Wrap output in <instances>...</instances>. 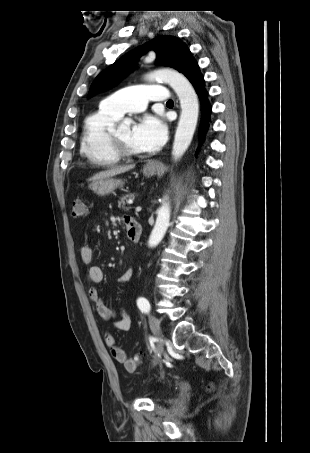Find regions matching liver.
<instances>
[{
	"label": "liver",
	"mask_w": 310,
	"mask_h": 453,
	"mask_svg": "<svg viewBox=\"0 0 310 453\" xmlns=\"http://www.w3.org/2000/svg\"><path fill=\"white\" fill-rule=\"evenodd\" d=\"M135 167V165H126V166H116V167H112L108 170H105V171H101L97 174H95L93 177H91L89 180L90 181H96V180H100V179H104V178H108V177H112V176H115L117 174H122V173H125L131 169H133Z\"/></svg>",
	"instance_id": "liver-1"
}]
</instances>
